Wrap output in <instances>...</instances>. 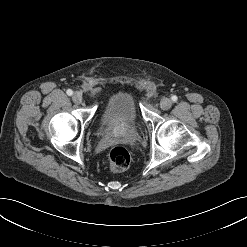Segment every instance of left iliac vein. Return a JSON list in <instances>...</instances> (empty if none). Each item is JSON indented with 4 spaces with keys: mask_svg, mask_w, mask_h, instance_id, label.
Instances as JSON below:
<instances>
[{
    "mask_svg": "<svg viewBox=\"0 0 247 247\" xmlns=\"http://www.w3.org/2000/svg\"><path fill=\"white\" fill-rule=\"evenodd\" d=\"M172 106V101L169 98H163L160 101V108L162 110H168Z\"/></svg>",
    "mask_w": 247,
    "mask_h": 247,
    "instance_id": "left-iliac-vein-1",
    "label": "left iliac vein"
}]
</instances>
